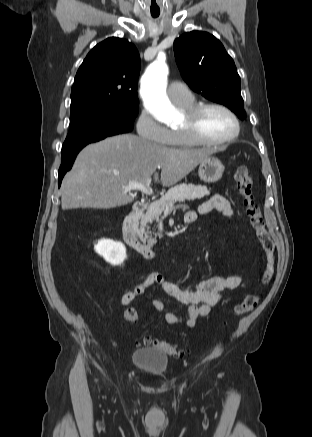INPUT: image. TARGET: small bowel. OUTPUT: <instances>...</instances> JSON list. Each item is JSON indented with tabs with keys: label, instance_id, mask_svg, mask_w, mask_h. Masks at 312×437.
Here are the masks:
<instances>
[{
	"label": "small bowel",
	"instance_id": "obj_1",
	"mask_svg": "<svg viewBox=\"0 0 312 437\" xmlns=\"http://www.w3.org/2000/svg\"><path fill=\"white\" fill-rule=\"evenodd\" d=\"M212 210L220 211L228 219H231L233 216L230 201L221 194H215L202 203L198 212H187L184 216V221L186 223H193L199 214H206ZM240 283L241 277L239 275L212 276L200 280L191 289H183L177 284L164 279L159 273H150L139 284L125 291L121 296L120 302L123 306H128L138 297L142 296L149 288L159 287L167 295L188 307L185 319H182L174 312H167L165 314L166 323L170 325L184 324L188 328H194L197 320L207 316L211 309L217 305L224 291L233 290ZM152 305L157 311L162 312L166 309V305L161 299H154Z\"/></svg>",
	"mask_w": 312,
	"mask_h": 437
}]
</instances>
